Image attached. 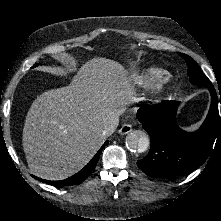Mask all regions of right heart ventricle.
<instances>
[{
	"label": "right heart ventricle",
	"instance_id": "right-heart-ventricle-1",
	"mask_svg": "<svg viewBox=\"0 0 221 221\" xmlns=\"http://www.w3.org/2000/svg\"><path fill=\"white\" fill-rule=\"evenodd\" d=\"M167 74L161 69L152 68L146 71H142L139 74L138 80L141 84L146 86H152L166 78Z\"/></svg>",
	"mask_w": 221,
	"mask_h": 221
}]
</instances>
